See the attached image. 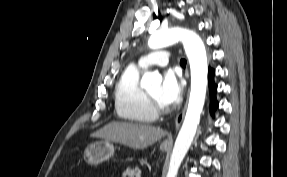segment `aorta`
I'll return each instance as SVG.
<instances>
[{"instance_id": "762f6f07", "label": "aorta", "mask_w": 287, "mask_h": 177, "mask_svg": "<svg viewBox=\"0 0 287 177\" xmlns=\"http://www.w3.org/2000/svg\"><path fill=\"white\" fill-rule=\"evenodd\" d=\"M178 41L183 43L191 70V92L184 122L176 138L167 177H176L179 167L191 146L200 122L207 89V55L202 39L194 32L183 28H171L153 33L148 41L151 49H159ZM162 81L158 73L146 72L141 87L148 89Z\"/></svg>"}]
</instances>
